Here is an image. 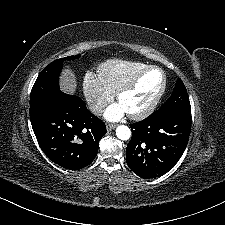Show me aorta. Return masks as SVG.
<instances>
[{"label": "aorta", "mask_w": 225, "mask_h": 225, "mask_svg": "<svg viewBox=\"0 0 225 225\" xmlns=\"http://www.w3.org/2000/svg\"><path fill=\"white\" fill-rule=\"evenodd\" d=\"M116 136L120 140H128L131 137V130L128 126L125 125H119L116 128Z\"/></svg>", "instance_id": "aorta-1"}]
</instances>
